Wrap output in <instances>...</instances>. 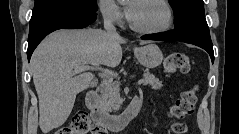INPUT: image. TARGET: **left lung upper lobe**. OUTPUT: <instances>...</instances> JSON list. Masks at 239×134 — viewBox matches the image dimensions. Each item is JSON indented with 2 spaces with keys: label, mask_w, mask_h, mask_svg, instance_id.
I'll list each match as a JSON object with an SVG mask.
<instances>
[{
  "label": "left lung upper lobe",
  "mask_w": 239,
  "mask_h": 134,
  "mask_svg": "<svg viewBox=\"0 0 239 134\" xmlns=\"http://www.w3.org/2000/svg\"><path fill=\"white\" fill-rule=\"evenodd\" d=\"M174 11L175 28L192 22L206 23L203 0H169Z\"/></svg>",
  "instance_id": "left-lung-upper-lobe-1"
}]
</instances>
